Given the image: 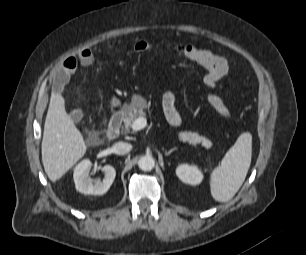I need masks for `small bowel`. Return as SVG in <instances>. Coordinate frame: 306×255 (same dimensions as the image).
<instances>
[{
  "label": "small bowel",
  "instance_id": "small-bowel-1",
  "mask_svg": "<svg viewBox=\"0 0 306 255\" xmlns=\"http://www.w3.org/2000/svg\"><path fill=\"white\" fill-rule=\"evenodd\" d=\"M79 59L82 64H90L93 60V55L90 50H82L79 54ZM78 66V61L75 57L67 58L61 67L53 75V89L57 93H61L68 83L69 77L73 74ZM177 97L174 92H166L162 98V107L167 121L173 126H179L182 122L181 116L176 108ZM73 119H78L79 112L75 111L72 114Z\"/></svg>",
  "mask_w": 306,
  "mask_h": 255
}]
</instances>
